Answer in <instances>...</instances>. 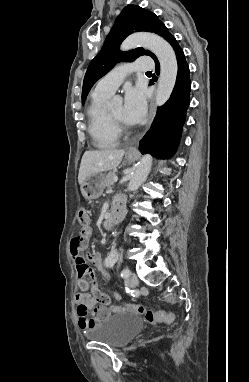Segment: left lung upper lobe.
Here are the masks:
<instances>
[{"label": "left lung upper lobe", "instance_id": "obj_1", "mask_svg": "<svg viewBox=\"0 0 249 382\" xmlns=\"http://www.w3.org/2000/svg\"><path fill=\"white\" fill-rule=\"evenodd\" d=\"M139 31L156 33L168 42L173 38L166 26L154 13L137 5L126 6L116 18L101 51L89 64L83 82L82 103L85 102L93 84L107 74L116 63L120 61L131 62L141 55H149L154 60L157 59L153 53L143 48H136L129 52L119 50V45L128 35Z\"/></svg>", "mask_w": 249, "mask_h": 382}]
</instances>
